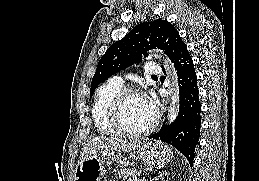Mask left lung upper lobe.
<instances>
[{"label": "left lung upper lobe", "instance_id": "left-lung-upper-lobe-1", "mask_svg": "<svg viewBox=\"0 0 259 181\" xmlns=\"http://www.w3.org/2000/svg\"><path fill=\"white\" fill-rule=\"evenodd\" d=\"M180 39L177 29L162 19L147 21L134 27L123 39L112 44L100 59L92 78L90 96L96 87L113 74L138 63L149 49H162L169 56Z\"/></svg>", "mask_w": 259, "mask_h": 181}]
</instances>
